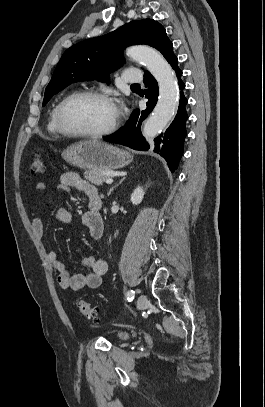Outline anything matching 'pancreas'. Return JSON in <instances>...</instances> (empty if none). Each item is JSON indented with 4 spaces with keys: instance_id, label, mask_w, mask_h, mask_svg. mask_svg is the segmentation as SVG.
Wrapping results in <instances>:
<instances>
[{
    "instance_id": "pancreas-1",
    "label": "pancreas",
    "mask_w": 265,
    "mask_h": 407,
    "mask_svg": "<svg viewBox=\"0 0 265 407\" xmlns=\"http://www.w3.org/2000/svg\"><path fill=\"white\" fill-rule=\"evenodd\" d=\"M84 178L92 184L99 186L102 185L106 179L110 178V175L102 170L92 169L84 172Z\"/></svg>"
}]
</instances>
